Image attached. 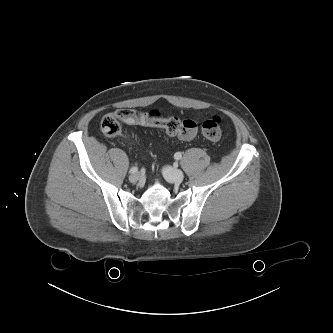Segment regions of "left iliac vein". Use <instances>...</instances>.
<instances>
[{"instance_id": "left-iliac-vein-1", "label": "left iliac vein", "mask_w": 333, "mask_h": 333, "mask_svg": "<svg viewBox=\"0 0 333 333\" xmlns=\"http://www.w3.org/2000/svg\"><path fill=\"white\" fill-rule=\"evenodd\" d=\"M163 175L171 183H181L184 179V173L181 170L171 167H165Z\"/></svg>"}]
</instances>
